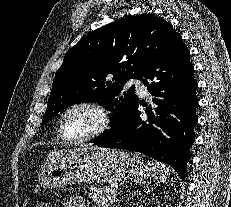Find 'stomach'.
<instances>
[{"mask_svg": "<svg viewBox=\"0 0 231 207\" xmlns=\"http://www.w3.org/2000/svg\"><path fill=\"white\" fill-rule=\"evenodd\" d=\"M150 174L149 163L138 154L75 149L53 158L40 172L38 182L44 189H57L88 182L139 183Z\"/></svg>", "mask_w": 231, "mask_h": 207, "instance_id": "1", "label": "stomach"}]
</instances>
